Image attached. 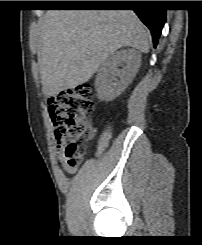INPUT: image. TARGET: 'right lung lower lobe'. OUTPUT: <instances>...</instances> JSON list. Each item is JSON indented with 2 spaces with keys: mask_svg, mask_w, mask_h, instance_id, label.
Listing matches in <instances>:
<instances>
[{
  "mask_svg": "<svg viewBox=\"0 0 202 245\" xmlns=\"http://www.w3.org/2000/svg\"><path fill=\"white\" fill-rule=\"evenodd\" d=\"M80 6H108L97 3H84ZM133 11L140 20L149 28L152 34L154 47L157 46L162 28L166 21V10L152 7L151 1H135L132 3Z\"/></svg>",
  "mask_w": 202,
  "mask_h": 245,
  "instance_id": "98d812e1",
  "label": "right lung lower lobe"
}]
</instances>
